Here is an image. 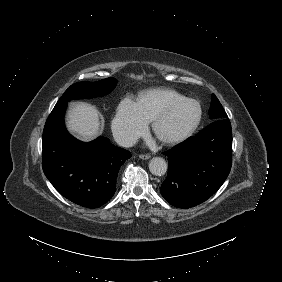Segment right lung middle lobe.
<instances>
[{
	"mask_svg": "<svg viewBox=\"0 0 282 282\" xmlns=\"http://www.w3.org/2000/svg\"><path fill=\"white\" fill-rule=\"evenodd\" d=\"M115 78L102 79L97 82H78L71 85L57 104L66 103L72 99L93 98L110 93L116 86ZM56 104V105H57Z\"/></svg>",
	"mask_w": 282,
	"mask_h": 282,
	"instance_id": "obj_1",
	"label": "right lung middle lobe"
}]
</instances>
